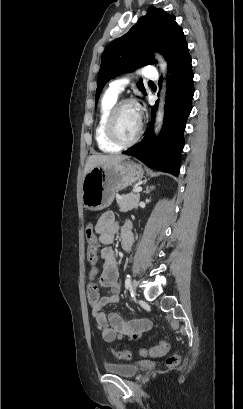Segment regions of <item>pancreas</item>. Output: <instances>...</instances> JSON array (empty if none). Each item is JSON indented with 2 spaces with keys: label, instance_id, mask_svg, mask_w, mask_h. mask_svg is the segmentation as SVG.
Listing matches in <instances>:
<instances>
[{
  "label": "pancreas",
  "instance_id": "obj_1",
  "mask_svg": "<svg viewBox=\"0 0 243 409\" xmlns=\"http://www.w3.org/2000/svg\"><path fill=\"white\" fill-rule=\"evenodd\" d=\"M139 193H131L126 196L116 195V201L121 212H128L137 209L139 206Z\"/></svg>",
  "mask_w": 243,
  "mask_h": 409
}]
</instances>
